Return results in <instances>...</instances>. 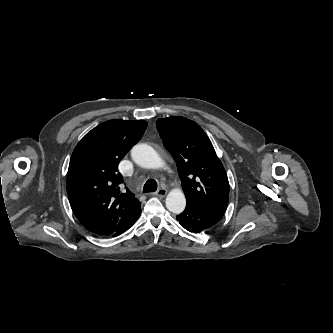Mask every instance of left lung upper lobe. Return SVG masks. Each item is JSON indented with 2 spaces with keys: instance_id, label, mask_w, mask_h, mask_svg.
<instances>
[{
  "instance_id": "1",
  "label": "left lung upper lobe",
  "mask_w": 333,
  "mask_h": 333,
  "mask_svg": "<svg viewBox=\"0 0 333 333\" xmlns=\"http://www.w3.org/2000/svg\"><path fill=\"white\" fill-rule=\"evenodd\" d=\"M156 126L163 145L176 161L187 203L224 214L229 182L208 136L194 121L181 116L158 119Z\"/></svg>"
}]
</instances>
